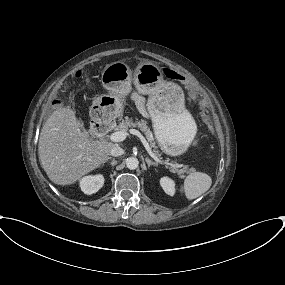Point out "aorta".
Wrapping results in <instances>:
<instances>
[{
  "label": "aorta",
  "mask_w": 285,
  "mask_h": 285,
  "mask_svg": "<svg viewBox=\"0 0 285 285\" xmlns=\"http://www.w3.org/2000/svg\"><path fill=\"white\" fill-rule=\"evenodd\" d=\"M126 166L130 170H135L139 166V161L136 157H129L126 160Z\"/></svg>",
  "instance_id": "762f6f07"
}]
</instances>
